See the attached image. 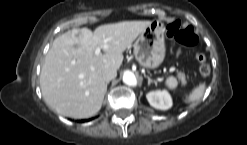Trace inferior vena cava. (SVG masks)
<instances>
[{"instance_id":"inferior-vena-cava-1","label":"inferior vena cava","mask_w":247,"mask_h":145,"mask_svg":"<svg viewBox=\"0 0 247 145\" xmlns=\"http://www.w3.org/2000/svg\"><path fill=\"white\" fill-rule=\"evenodd\" d=\"M117 76V70L114 68L107 67L102 71V77L105 82H109Z\"/></svg>"}]
</instances>
